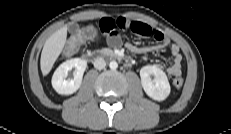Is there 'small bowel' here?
Masks as SVG:
<instances>
[{
    "mask_svg": "<svg viewBox=\"0 0 231 134\" xmlns=\"http://www.w3.org/2000/svg\"><path fill=\"white\" fill-rule=\"evenodd\" d=\"M98 28L100 32L106 36L107 42L111 46H119L121 44V32L124 30H131L138 36L154 39L160 44L159 47H170L172 63L167 68V73L171 76L181 75L182 54L180 47L175 43H171L170 39L160 30L155 29L144 22L129 20L123 17L116 19L103 18L100 20ZM157 48L158 47L155 49Z\"/></svg>",
    "mask_w": 231,
    "mask_h": 134,
    "instance_id": "c3829d8e",
    "label": "small bowel"
}]
</instances>
